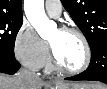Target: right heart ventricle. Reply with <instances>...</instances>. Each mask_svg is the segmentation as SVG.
<instances>
[{
    "mask_svg": "<svg viewBox=\"0 0 107 89\" xmlns=\"http://www.w3.org/2000/svg\"><path fill=\"white\" fill-rule=\"evenodd\" d=\"M44 66H45V70H46L47 72H51V71L54 70V66H53L51 60L49 59V57L47 58Z\"/></svg>",
    "mask_w": 107,
    "mask_h": 89,
    "instance_id": "1",
    "label": "right heart ventricle"
}]
</instances>
